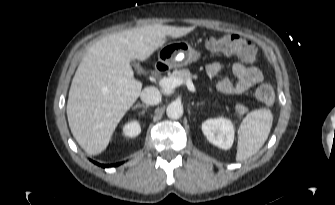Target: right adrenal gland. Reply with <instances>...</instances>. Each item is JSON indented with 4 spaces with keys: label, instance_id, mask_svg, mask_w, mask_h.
<instances>
[{
    "label": "right adrenal gland",
    "instance_id": "right-adrenal-gland-1",
    "mask_svg": "<svg viewBox=\"0 0 335 205\" xmlns=\"http://www.w3.org/2000/svg\"><path fill=\"white\" fill-rule=\"evenodd\" d=\"M136 108H143V109L147 110V109H148V105H144V104H140V103H138V104H136V105L133 107V109H136Z\"/></svg>",
    "mask_w": 335,
    "mask_h": 205
}]
</instances>
